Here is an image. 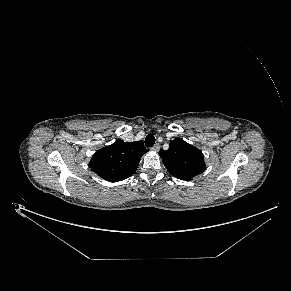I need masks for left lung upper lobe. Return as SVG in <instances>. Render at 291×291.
<instances>
[{
  "mask_svg": "<svg viewBox=\"0 0 291 291\" xmlns=\"http://www.w3.org/2000/svg\"><path fill=\"white\" fill-rule=\"evenodd\" d=\"M159 155L168 172L181 180H192L206 169L203 153L182 138L171 141L169 149L160 150Z\"/></svg>",
  "mask_w": 291,
  "mask_h": 291,
  "instance_id": "obj_1",
  "label": "left lung upper lobe"
}]
</instances>
